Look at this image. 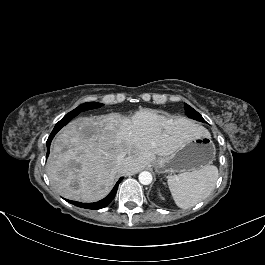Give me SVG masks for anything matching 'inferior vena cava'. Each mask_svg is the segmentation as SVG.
Returning <instances> with one entry per match:
<instances>
[{
	"mask_svg": "<svg viewBox=\"0 0 265 265\" xmlns=\"http://www.w3.org/2000/svg\"><path fill=\"white\" fill-rule=\"evenodd\" d=\"M123 159H124V156L123 155H119L117 157L118 167H121L123 165Z\"/></svg>",
	"mask_w": 265,
	"mask_h": 265,
	"instance_id": "1",
	"label": "inferior vena cava"
}]
</instances>
